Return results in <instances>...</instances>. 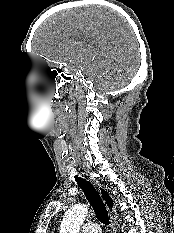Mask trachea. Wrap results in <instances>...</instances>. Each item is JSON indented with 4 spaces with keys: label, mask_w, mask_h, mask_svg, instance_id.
Here are the masks:
<instances>
[{
    "label": "trachea",
    "mask_w": 174,
    "mask_h": 233,
    "mask_svg": "<svg viewBox=\"0 0 174 233\" xmlns=\"http://www.w3.org/2000/svg\"><path fill=\"white\" fill-rule=\"evenodd\" d=\"M75 180L77 184L80 186V188L82 189V191L84 192L90 205L92 206L96 214V218L102 224L109 225L110 221H109V215H108L107 209L98 191L95 189V187L89 181L81 177L75 176Z\"/></svg>",
    "instance_id": "obj_1"
}]
</instances>
